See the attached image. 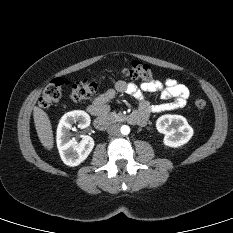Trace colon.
Returning a JSON list of instances; mask_svg holds the SVG:
<instances>
[{"label": "colon", "mask_w": 233, "mask_h": 233, "mask_svg": "<svg viewBox=\"0 0 233 233\" xmlns=\"http://www.w3.org/2000/svg\"><path fill=\"white\" fill-rule=\"evenodd\" d=\"M122 76L140 80L142 82L153 81L152 68L139 61H133L126 67H123L118 71ZM68 88V97L73 101H82L91 98L98 88V82L83 79L75 83H68L62 78H55L51 80L43 89L39 98V105L44 109H49L57 101L64 96V88ZM195 106L199 109H203L206 106V102L203 99H197Z\"/></svg>", "instance_id": "5ec220e1"}]
</instances>
